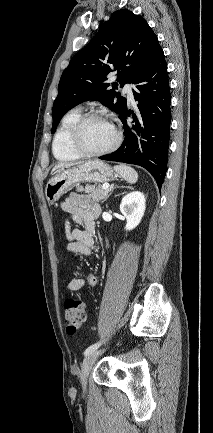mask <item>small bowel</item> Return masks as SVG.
<instances>
[{"label":"small bowel","instance_id":"obj_1","mask_svg":"<svg viewBox=\"0 0 213 433\" xmlns=\"http://www.w3.org/2000/svg\"><path fill=\"white\" fill-rule=\"evenodd\" d=\"M62 210L68 214L64 229L67 238L66 250L83 256H90L95 245V220L98 218L100 206L89 197L72 193L62 204ZM71 223H76L84 230L71 229ZM97 278L92 271H86L81 276L72 278L67 289L78 291L85 285L94 287Z\"/></svg>","mask_w":213,"mask_h":433}]
</instances>
